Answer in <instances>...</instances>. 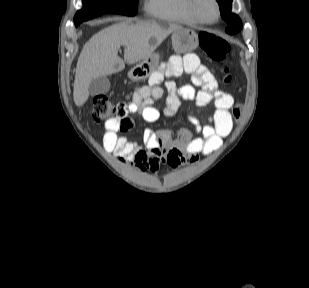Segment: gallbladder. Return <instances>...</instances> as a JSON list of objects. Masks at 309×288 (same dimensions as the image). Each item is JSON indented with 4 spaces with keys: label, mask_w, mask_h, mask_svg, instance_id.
Listing matches in <instances>:
<instances>
[{
    "label": "gallbladder",
    "mask_w": 309,
    "mask_h": 288,
    "mask_svg": "<svg viewBox=\"0 0 309 288\" xmlns=\"http://www.w3.org/2000/svg\"><path fill=\"white\" fill-rule=\"evenodd\" d=\"M110 89V81L107 76H101L95 78L89 84V95L95 96L98 94H104Z\"/></svg>",
    "instance_id": "obj_1"
}]
</instances>
